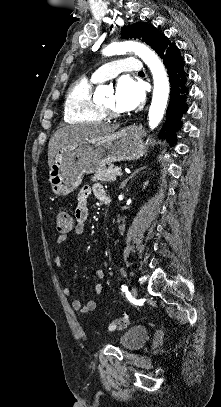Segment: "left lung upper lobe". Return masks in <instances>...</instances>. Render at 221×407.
I'll return each instance as SVG.
<instances>
[{
    "mask_svg": "<svg viewBox=\"0 0 221 407\" xmlns=\"http://www.w3.org/2000/svg\"><path fill=\"white\" fill-rule=\"evenodd\" d=\"M122 38H138L148 44L152 49L157 52L159 41L162 33L158 31L153 25L145 22H137L129 26L122 27Z\"/></svg>",
    "mask_w": 221,
    "mask_h": 407,
    "instance_id": "obj_1",
    "label": "left lung upper lobe"
}]
</instances>
